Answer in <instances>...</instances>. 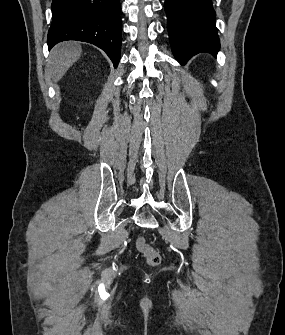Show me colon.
<instances>
[{"mask_svg":"<svg viewBox=\"0 0 285 335\" xmlns=\"http://www.w3.org/2000/svg\"><path fill=\"white\" fill-rule=\"evenodd\" d=\"M136 249L143 254L148 265L156 266L161 261L159 251L151 246L144 237H138L135 241Z\"/></svg>","mask_w":285,"mask_h":335,"instance_id":"obj_1","label":"colon"}]
</instances>
